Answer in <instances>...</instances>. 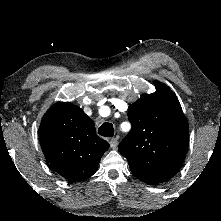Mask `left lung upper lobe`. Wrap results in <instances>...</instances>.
Here are the masks:
<instances>
[{
	"instance_id": "5c2ea615",
	"label": "left lung upper lobe",
	"mask_w": 221,
	"mask_h": 221,
	"mask_svg": "<svg viewBox=\"0 0 221 221\" xmlns=\"http://www.w3.org/2000/svg\"><path fill=\"white\" fill-rule=\"evenodd\" d=\"M156 92L145 95L128 110L132 128L118 146L131 172L154 185L174 176L182 166L189 142L188 121L170 88L154 82Z\"/></svg>"
}]
</instances>
